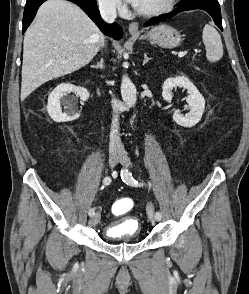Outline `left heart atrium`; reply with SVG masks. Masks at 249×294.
I'll return each instance as SVG.
<instances>
[{
    "mask_svg": "<svg viewBox=\"0 0 249 294\" xmlns=\"http://www.w3.org/2000/svg\"><path fill=\"white\" fill-rule=\"evenodd\" d=\"M129 2L133 3V4H137L138 0H128Z\"/></svg>",
    "mask_w": 249,
    "mask_h": 294,
    "instance_id": "left-heart-atrium-1",
    "label": "left heart atrium"
}]
</instances>
